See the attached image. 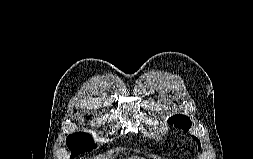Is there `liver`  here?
Masks as SVG:
<instances>
[{"instance_id": "obj_1", "label": "liver", "mask_w": 253, "mask_h": 159, "mask_svg": "<svg viewBox=\"0 0 253 159\" xmlns=\"http://www.w3.org/2000/svg\"><path fill=\"white\" fill-rule=\"evenodd\" d=\"M128 159H140V157L136 156V157H131V158H128ZM141 159H144V158H141Z\"/></svg>"}]
</instances>
